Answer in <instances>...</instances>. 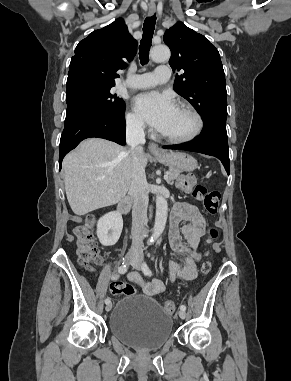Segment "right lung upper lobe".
Wrapping results in <instances>:
<instances>
[{
  "mask_svg": "<svg viewBox=\"0 0 291 381\" xmlns=\"http://www.w3.org/2000/svg\"><path fill=\"white\" fill-rule=\"evenodd\" d=\"M136 51V40L129 34L124 20L118 18L78 43L70 62L68 79L82 77L115 84L116 72L126 67V61H131Z\"/></svg>",
  "mask_w": 291,
  "mask_h": 381,
  "instance_id": "right-lung-upper-lobe-1",
  "label": "right lung upper lobe"
}]
</instances>
